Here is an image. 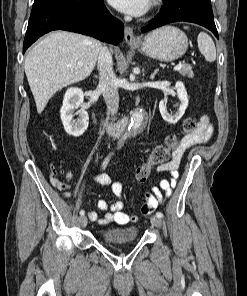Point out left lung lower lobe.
Returning <instances> with one entry per match:
<instances>
[{
	"mask_svg": "<svg viewBox=\"0 0 247 296\" xmlns=\"http://www.w3.org/2000/svg\"><path fill=\"white\" fill-rule=\"evenodd\" d=\"M186 21L202 25L218 38L210 0H165L154 21L143 27L141 32L172 22Z\"/></svg>",
	"mask_w": 247,
	"mask_h": 296,
	"instance_id": "left-lung-lower-lobe-1",
	"label": "left lung lower lobe"
}]
</instances>
